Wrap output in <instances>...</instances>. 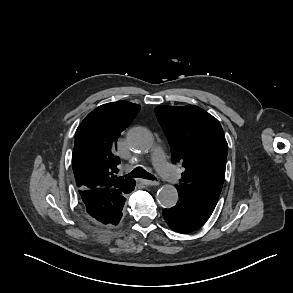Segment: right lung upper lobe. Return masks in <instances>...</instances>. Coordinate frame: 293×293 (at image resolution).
Returning <instances> with one entry per match:
<instances>
[{"mask_svg": "<svg viewBox=\"0 0 293 293\" xmlns=\"http://www.w3.org/2000/svg\"><path fill=\"white\" fill-rule=\"evenodd\" d=\"M140 105L118 101L99 106L76 130L72 167L80 190L122 189L132 182L118 177L115 154L121 132L131 123Z\"/></svg>", "mask_w": 293, "mask_h": 293, "instance_id": "cb5924a9", "label": "right lung upper lobe"}]
</instances>
